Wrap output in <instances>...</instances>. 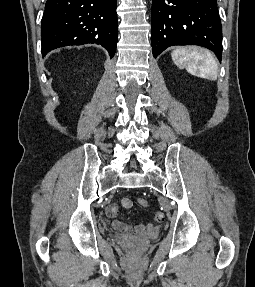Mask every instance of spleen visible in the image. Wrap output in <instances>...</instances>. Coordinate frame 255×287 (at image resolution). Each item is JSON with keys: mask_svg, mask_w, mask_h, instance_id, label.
Masks as SVG:
<instances>
[{"mask_svg": "<svg viewBox=\"0 0 255 287\" xmlns=\"http://www.w3.org/2000/svg\"><path fill=\"white\" fill-rule=\"evenodd\" d=\"M171 56L174 64H178L180 68H187L188 72H194L198 78L217 80V62L208 50H203V48H192V50L177 48ZM182 56H187V58H184V62Z\"/></svg>", "mask_w": 255, "mask_h": 287, "instance_id": "spleen-1", "label": "spleen"}]
</instances>
